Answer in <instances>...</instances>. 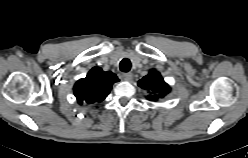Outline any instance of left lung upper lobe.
<instances>
[{
  "mask_svg": "<svg viewBox=\"0 0 248 158\" xmlns=\"http://www.w3.org/2000/svg\"><path fill=\"white\" fill-rule=\"evenodd\" d=\"M138 85L148 90L147 99L150 101H157L170 92V87L156 70H151L148 75L138 82Z\"/></svg>",
  "mask_w": 248,
  "mask_h": 158,
  "instance_id": "5c2ea615",
  "label": "left lung upper lobe"
}]
</instances>
